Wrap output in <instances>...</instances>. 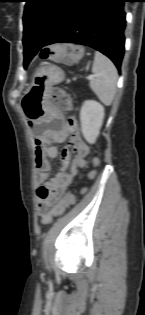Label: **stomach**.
Segmentation results:
<instances>
[{"label": "stomach", "instance_id": "0dacf381", "mask_svg": "<svg viewBox=\"0 0 145 315\" xmlns=\"http://www.w3.org/2000/svg\"><path fill=\"white\" fill-rule=\"evenodd\" d=\"M65 78L64 72L58 67H51L45 72H35L34 84L25 91L21 98V108L29 122H43L45 116H52L53 110L45 100L48 91H52L54 83Z\"/></svg>", "mask_w": 145, "mask_h": 315}]
</instances>
